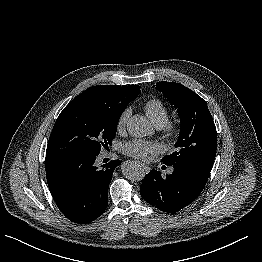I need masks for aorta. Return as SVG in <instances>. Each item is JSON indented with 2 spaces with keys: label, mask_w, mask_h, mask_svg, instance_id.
<instances>
[{
  "label": "aorta",
  "mask_w": 262,
  "mask_h": 262,
  "mask_svg": "<svg viewBox=\"0 0 262 262\" xmlns=\"http://www.w3.org/2000/svg\"><path fill=\"white\" fill-rule=\"evenodd\" d=\"M127 130L134 137H145L153 133L150 122L142 115H134L127 123ZM122 174L131 181H141L145 176L144 167L136 161H126L121 165Z\"/></svg>",
  "instance_id": "obj_1"
}]
</instances>
